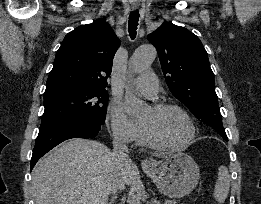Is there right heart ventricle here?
Listing matches in <instances>:
<instances>
[{
	"mask_svg": "<svg viewBox=\"0 0 261 204\" xmlns=\"http://www.w3.org/2000/svg\"><path fill=\"white\" fill-rule=\"evenodd\" d=\"M137 143L141 146L151 147L152 145L149 143L141 125H139V134L137 138Z\"/></svg>",
	"mask_w": 261,
	"mask_h": 204,
	"instance_id": "e07e8e85",
	"label": "right heart ventricle"
}]
</instances>
